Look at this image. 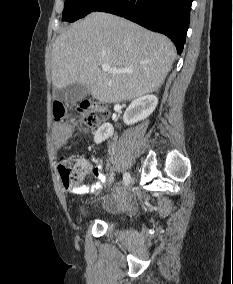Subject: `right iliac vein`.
Returning <instances> with one entry per match:
<instances>
[{
	"mask_svg": "<svg viewBox=\"0 0 233 284\" xmlns=\"http://www.w3.org/2000/svg\"><path fill=\"white\" fill-rule=\"evenodd\" d=\"M129 179H130L129 183H126V187L123 188L124 192H129L130 188H133V184H134L133 180L136 179V176L135 175H130Z\"/></svg>",
	"mask_w": 233,
	"mask_h": 284,
	"instance_id": "63e3f726",
	"label": "right iliac vein"
}]
</instances>
